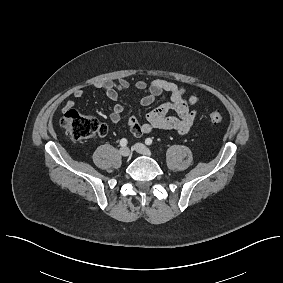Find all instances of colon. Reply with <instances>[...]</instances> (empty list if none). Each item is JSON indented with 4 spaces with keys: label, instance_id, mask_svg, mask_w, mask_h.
<instances>
[{
    "label": "colon",
    "instance_id": "5ec220e1",
    "mask_svg": "<svg viewBox=\"0 0 283 283\" xmlns=\"http://www.w3.org/2000/svg\"><path fill=\"white\" fill-rule=\"evenodd\" d=\"M209 120L212 124H219L223 121V116L219 112H212L209 114ZM61 125L74 141L100 137L107 130L97 119L76 110L67 111L62 117Z\"/></svg>",
    "mask_w": 283,
    "mask_h": 283
}]
</instances>
